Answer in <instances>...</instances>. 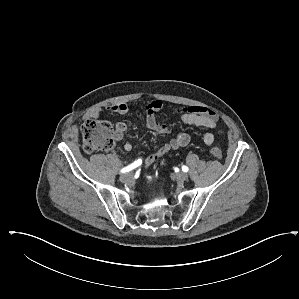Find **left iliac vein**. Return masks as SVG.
I'll use <instances>...</instances> for the list:
<instances>
[{"label":"left iliac vein","instance_id":"4c4485c4","mask_svg":"<svg viewBox=\"0 0 299 299\" xmlns=\"http://www.w3.org/2000/svg\"><path fill=\"white\" fill-rule=\"evenodd\" d=\"M176 178L179 182H184L188 179V175L184 172H179L176 174Z\"/></svg>","mask_w":299,"mask_h":299}]
</instances>
